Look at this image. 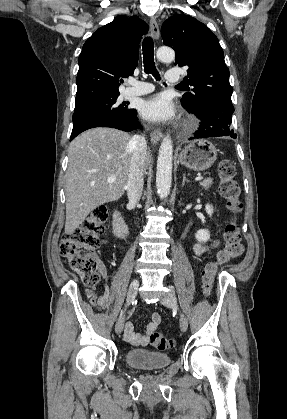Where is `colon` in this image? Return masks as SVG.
<instances>
[{
	"label": "colon",
	"instance_id": "colon-1",
	"mask_svg": "<svg viewBox=\"0 0 287 419\" xmlns=\"http://www.w3.org/2000/svg\"><path fill=\"white\" fill-rule=\"evenodd\" d=\"M219 192L226 200L230 218L225 225V246L216 259L208 263L203 272V291L209 296L215 275L221 265L241 257L244 246L241 239L238 213L242 209L240 186L235 179L236 169L231 160H222L218 168ZM108 217L107 208L103 205L95 207L72 233L63 237L60 252L66 257L71 268L82 276L83 283L90 288L99 282L100 260L96 255L99 237L104 232ZM151 344L159 350L170 349L174 341L162 334L154 333L150 337Z\"/></svg>",
	"mask_w": 287,
	"mask_h": 419
}]
</instances>
